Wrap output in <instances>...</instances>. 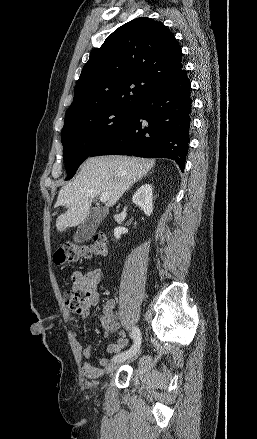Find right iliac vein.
<instances>
[{
  "label": "right iliac vein",
  "mask_w": 257,
  "mask_h": 439,
  "mask_svg": "<svg viewBox=\"0 0 257 439\" xmlns=\"http://www.w3.org/2000/svg\"><path fill=\"white\" fill-rule=\"evenodd\" d=\"M139 355V351H137L134 355H132L131 357H129V361H133L135 360ZM126 360V359H125ZM124 359L121 360H117L114 361L113 363H110L109 366L107 367L106 371L107 373H111L113 372L116 368H118L124 361Z\"/></svg>",
  "instance_id": "right-iliac-vein-1"
}]
</instances>
